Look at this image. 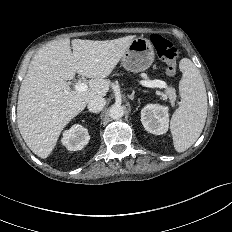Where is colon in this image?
Instances as JSON below:
<instances>
[{
  "instance_id": "1",
  "label": "colon",
  "mask_w": 232,
  "mask_h": 232,
  "mask_svg": "<svg viewBox=\"0 0 232 232\" xmlns=\"http://www.w3.org/2000/svg\"><path fill=\"white\" fill-rule=\"evenodd\" d=\"M151 42L156 49L158 56L167 64V72L173 76L176 73V62L178 57L177 48L172 42L159 34L151 36Z\"/></svg>"
}]
</instances>
